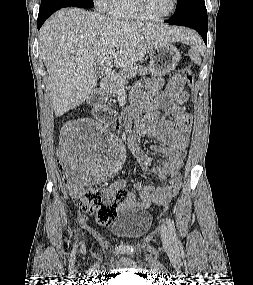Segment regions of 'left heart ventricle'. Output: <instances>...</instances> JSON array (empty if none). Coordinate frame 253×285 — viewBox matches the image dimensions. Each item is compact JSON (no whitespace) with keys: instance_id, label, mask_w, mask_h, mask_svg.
Wrapping results in <instances>:
<instances>
[{"instance_id":"1","label":"left heart ventricle","mask_w":253,"mask_h":285,"mask_svg":"<svg viewBox=\"0 0 253 285\" xmlns=\"http://www.w3.org/2000/svg\"><path fill=\"white\" fill-rule=\"evenodd\" d=\"M173 0H142L146 14L160 16L167 13L172 7Z\"/></svg>"}]
</instances>
